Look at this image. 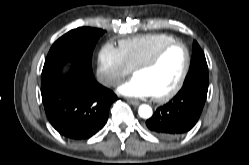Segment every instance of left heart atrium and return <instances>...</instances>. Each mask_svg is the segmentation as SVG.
<instances>
[{
	"label": "left heart atrium",
	"mask_w": 249,
	"mask_h": 165,
	"mask_svg": "<svg viewBox=\"0 0 249 165\" xmlns=\"http://www.w3.org/2000/svg\"><path fill=\"white\" fill-rule=\"evenodd\" d=\"M118 92L127 97L144 98L151 97L153 93L148 85L137 76L124 82L118 88Z\"/></svg>",
	"instance_id": "39dd6f15"
}]
</instances>
